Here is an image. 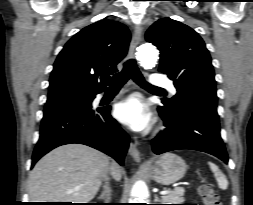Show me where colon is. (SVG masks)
Wrapping results in <instances>:
<instances>
[{
    "label": "colon",
    "instance_id": "1",
    "mask_svg": "<svg viewBox=\"0 0 253 205\" xmlns=\"http://www.w3.org/2000/svg\"><path fill=\"white\" fill-rule=\"evenodd\" d=\"M198 193L204 205H221L218 194L211 183H202L198 188Z\"/></svg>",
    "mask_w": 253,
    "mask_h": 205
}]
</instances>
